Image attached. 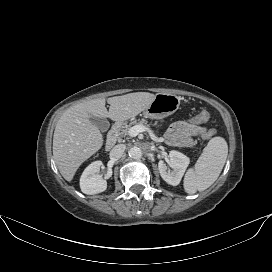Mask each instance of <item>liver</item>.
Returning <instances> with one entry per match:
<instances>
[{"mask_svg": "<svg viewBox=\"0 0 272 272\" xmlns=\"http://www.w3.org/2000/svg\"><path fill=\"white\" fill-rule=\"evenodd\" d=\"M148 92H135L105 99L98 98L68 108L58 120L53 135V157L61 175L71 181L83 162L103 145L100 130L90 122L89 115L125 121L144 111L154 100Z\"/></svg>", "mask_w": 272, "mask_h": 272, "instance_id": "6515ba94", "label": "liver"}]
</instances>
